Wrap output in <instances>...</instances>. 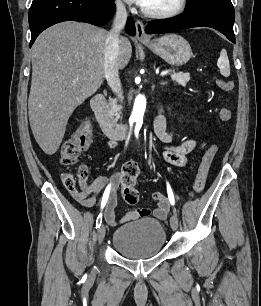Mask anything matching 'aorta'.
<instances>
[{"mask_svg": "<svg viewBox=\"0 0 261 306\" xmlns=\"http://www.w3.org/2000/svg\"><path fill=\"white\" fill-rule=\"evenodd\" d=\"M145 110H146L145 97L142 95H137L134 100L130 121L136 122L137 124L142 123Z\"/></svg>", "mask_w": 261, "mask_h": 306, "instance_id": "obj_1", "label": "aorta"}]
</instances>
